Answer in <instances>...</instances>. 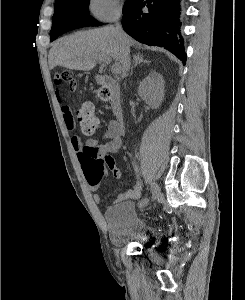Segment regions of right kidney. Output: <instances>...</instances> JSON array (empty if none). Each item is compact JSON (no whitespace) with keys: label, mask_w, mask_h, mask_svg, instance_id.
Instances as JSON below:
<instances>
[{"label":"right kidney","mask_w":245,"mask_h":300,"mask_svg":"<svg viewBox=\"0 0 245 300\" xmlns=\"http://www.w3.org/2000/svg\"><path fill=\"white\" fill-rule=\"evenodd\" d=\"M140 97L152 108L160 106L164 98V80L161 74L151 72L139 85Z\"/></svg>","instance_id":"1"}]
</instances>
